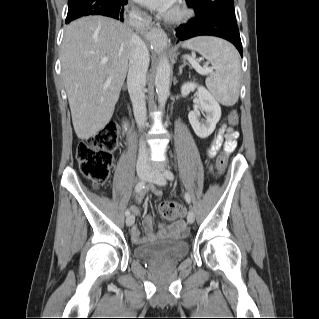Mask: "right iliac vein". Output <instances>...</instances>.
I'll list each match as a JSON object with an SVG mask.
<instances>
[{"label": "right iliac vein", "instance_id": "63e3f726", "mask_svg": "<svg viewBox=\"0 0 319 319\" xmlns=\"http://www.w3.org/2000/svg\"><path fill=\"white\" fill-rule=\"evenodd\" d=\"M138 177H139L141 180L147 179V177H148V170H146V169H139V170H138ZM133 223H134V216H133V215H129V216L126 218V224H127V226H132Z\"/></svg>", "mask_w": 319, "mask_h": 319}]
</instances>
